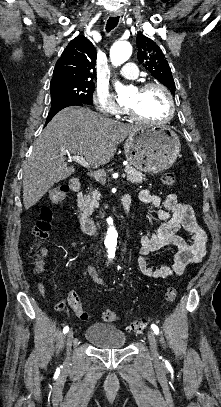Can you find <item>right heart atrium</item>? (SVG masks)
I'll use <instances>...</instances> for the list:
<instances>
[{"instance_id": "obj_1", "label": "right heart atrium", "mask_w": 221, "mask_h": 407, "mask_svg": "<svg viewBox=\"0 0 221 407\" xmlns=\"http://www.w3.org/2000/svg\"><path fill=\"white\" fill-rule=\"evenodd\" d=\"M93 103L97 111L109 116H116L122 112V108L116 103L112 95L104 90L97 89L93 94Z\"/></svg>"}]
</instances>
